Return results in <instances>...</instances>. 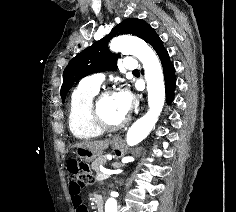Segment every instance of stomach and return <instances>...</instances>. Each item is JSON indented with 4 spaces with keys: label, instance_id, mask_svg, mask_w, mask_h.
I'll return each instance as SVG.
<instances>
[{
    "label": "stomach",
    "instance_id": "stomach-1",
    "mask_svg": "<svg viewBox=\"0 0 236 212\" xmlns=\"http://www.w3.org/2000/svg\"><path fill=\"white\" fill-rule=\"evenodd\" d=\"M111 145L117 154L120 155L123 152L122 145L117 138H114L111 141ZM74 154H76L78 158L85 162H91L94 161L97 157H100L102 153H94L87 148L77 147Z\"/></svg>",
    "mask_w": 236,
    "mask_h": 212
}]
</instances>
